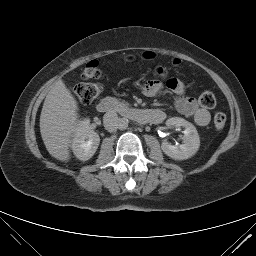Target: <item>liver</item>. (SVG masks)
Here are the masks:
<instances>
[{"label": "liver", "mask_w": 256, "mask_h": 256, "mask_svg": "<svg viewBox=\"0 0 256 256\" xmlns=\"http://www.w3.org/2000/svg\"><path fill=\"white\" fill-rule=\"evenodd\" d=\"M78 104L62 80L47 94L40 115V132L50 155L60 161L70 159L71 138L78 125Z\"/></svg>", "instance_id": "liver-1"}]
</instances>
